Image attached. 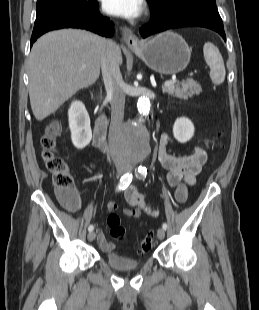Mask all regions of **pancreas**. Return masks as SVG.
Segmentation results:
<instances>
[{"label":"pancreas","instance_id":"pancreas-1","mask_svg":"<svg viewBox=\"0 0 259 310\" xmlns=\"http://www.w3.org/2000/svg\"><path fill=\"white\" fill-rule=\"evenodd\" d=\"M162 90L163 93H167L183 100H188L194 95H199L202 89L199 83L193 79H187L176 85L164 86Z\"/></svg>","mask_w":259,"mask_h":310}]
</instances>
